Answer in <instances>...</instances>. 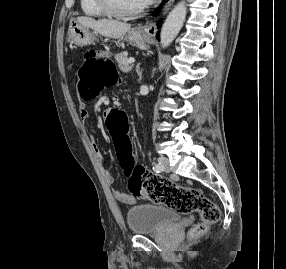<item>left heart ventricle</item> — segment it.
I'll return each instance as SVG.
<instances>
[{"label":"left heart ventricle","mask_w":286,"mask_h":269,"mask_svg":"<svg viewBox=\"0 0 286 269\" xmlns=\"http://www.w3.org/2000/svg\"><path fill=\"white\" fill-rule=\"evenodd\" d=\"M114 5L121 11L130 12L145 5L143 0H112Z\"/></svg>","instance_id":"1"}]
</instances>
